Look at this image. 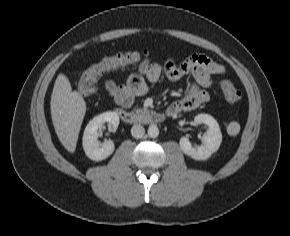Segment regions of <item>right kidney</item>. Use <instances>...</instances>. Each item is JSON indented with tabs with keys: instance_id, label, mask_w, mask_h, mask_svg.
Segmentation results:
<instances>
[{
	"instance_id": "1",
	"label": "right kidney",
	"mask_w": 290,
	"mask_h": 236,
	"mask_svg": "<svg viewBox=\"0 0 290 236\" xmlns=\"http://www.w3.org/2000/svg\"><path fill=\"white\" fill-rule=\"evenodd\" d=\"M107 122L112 131H116L119 125V117L115 112H104L95 116L86 126L82 138V145L88 158L94 161H101L108 158L114 151L113 141L106 140L103 143L98 141V129Z\"/></svg>"
}]
</instances>
